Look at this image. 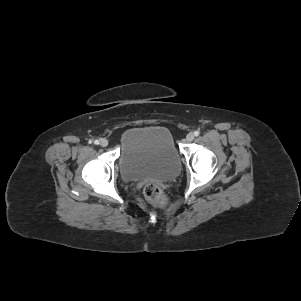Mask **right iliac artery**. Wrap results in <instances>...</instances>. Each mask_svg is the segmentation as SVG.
<instances>
[{"instance_id": "right-iliac-artery-1", "label": "right iliac artery", "mask_w": 301, "mask_h": 301, "mask_svg": "<svg viewBox=\"0 0 301 301\" xmlns=\"http://www.w3.org/2000/svg\"><path fill=\"white\" fill-rule=\"evenodd\" d=\"M94 144L98 145V144H99V141H98V140H95V141H94Z\"/></svg>"}]
</instances>
